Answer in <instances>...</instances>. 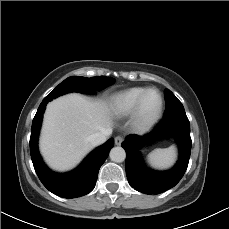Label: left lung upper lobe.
Instances as JSON below:
<instances>
[{
    "label": "left lung upper lobe",
    "instance_id": "left-lung-upper-lobe-1",
    "mask_svg": "<svg viewBox=\"0 0 229 229\" xmlns=\"http://www.w3.org/2000/svg\"><path fill=\"white\" fill-rule=\"evenodd\" d=\"M165 99H166V110H165L164 118L185 114V110L182 103L168 89L166 90L165 93Z\"/></svg>",
    "mask_w": 229,
    "mask_h": 229
}]
</instances>
